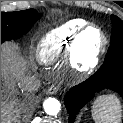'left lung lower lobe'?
I'll return each mask as SVG.
<instances>
[{
    "label": "left lung lower lobe",
    "mask_w": 123,
    "mask_h": 123,
    "mask_svg": "<svg viewBox=\"0 0 123 123\" xmlns=\"http://www.w3.org/2000/svg\"><path fill=\"white\" fill-rule=\"evenodd\" d=\"M105 88L112 89L123 98V68L108 70L101 66L86 81L67 92L64 103L69 113V123L74 122V117L85 104L94 98L95 93Z\"/></svg>",
    "instance_id": "left-lung-lower-lobe-1"
}]
</instances>
